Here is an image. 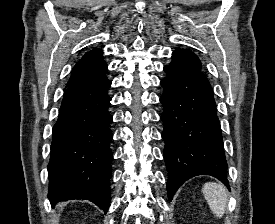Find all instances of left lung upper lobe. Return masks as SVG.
Masks as SVG:
<instances>
[{
  "instance_id": "1",
  "label": "left lung upper lobe",
  "mask_w": 275,
  "mask_h": 224,
  "mask_svg": "<svg viewBox=\"0 0 275 224\" xmlns=\"http://www.w3.org/2000/svg\"><path fill=\"white\" fill-rule=\"evenodd\" d=\"M164 69L172 72L201 71L202 65L194 53L184 49H176L172 53V62L168 66H165Z\"/></svg>"
}]
</instances>
